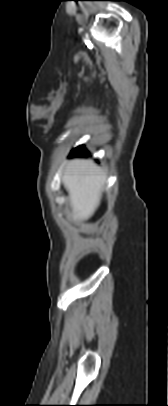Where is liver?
<instances>
[{
  "instance_id": "liver-1",
  "label": "liver",
  "mask_w": 168,
  "mask_h": 406,
  "mask_svg": "<svg viewBox=\"0 0 168 406\" xmlns=\"http://www.w3.org/2000/svg\"><path fill=\"white\" fill-rule=\"evenodd\" d=\"M106 181L101 169L92 161L74 159L66 164L62 182L69 194L74 221L88 220L98 208Z\"/></svg>"
}]
</instances>
